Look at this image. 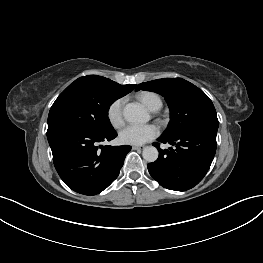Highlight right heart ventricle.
<instances>
[{
  "instance_id": "obj_1",
  "label": "right heart ventricle",
  "mask_w": 263,
  "mask_h": 263,
  "mask_svg": "<svg viewBox=\"0 0 263 263\" xmlns=\"http://www.w3.org/2000/svg\"><path fill=\"white\" fill-rule=\"evenodd\" d=\"M137 98L151 111H155L162 106L159 95L151 91H141L137 94Z\"/></svg>"
}]
</instances>
